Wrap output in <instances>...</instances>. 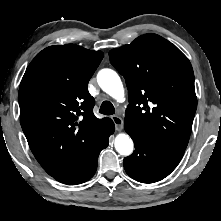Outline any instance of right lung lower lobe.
Wrapping results in <instances>:
<instances>
[{"label":"right lung lower lobe","instance_id":"right-lung-lower-lobe-1","mask_svg":"<svg viewBox=\"0 0 221 221\" xmlns=\"http://www.w3.org/2000/svg\"><path fill=\"white\" fill-rule=\"evenodd\" d=\"M114 129L113 122L109 120L101 136L85 153L65 170L52 177L67 185H76L89 180L96 172L99 153L108 146L109 136L114 132Z\"/></svg>","mask_w":221,"mask_h":221}]
</instances>
